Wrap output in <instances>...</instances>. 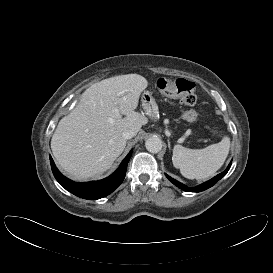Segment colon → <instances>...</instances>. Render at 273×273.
Masks as SVG:
<instances>
[{"label": "colon", "mask_w": 273, "mask_h": 273, "mask_svg": "<svg viewBox=\"0 0 273 273\" xmlns=\"http://www.w3.org/2000/svg\"><path fill=\"white\" fill-rule=\"evenodd\" d=\"M157 86L165 95L177 98L187 106H193L196 103L195 84L189 80L183 78L160 79ZM182 117L188 122H195L198 114L194 110H186L183 112Z\"/></svg>", "instance_id": "5ec220e1"}]
</instances>
